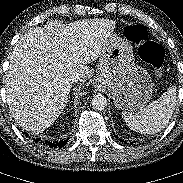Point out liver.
Wrapping results in <instances>:
<instances>
[{
  "label": "liver",
  "instance_id": "1",
  "mask_svg": "<svg viewBox=\"0 0 183 183\" xmlns=\"http://www.w3.org/2000/svg\"><path fill=\"white\" fill-rule=\"evenodd\" d=\"M116 23L83 19L69 24L51 21L31 28L10 56L6 98L15 121L24 130L43 132L62 113L72 88V72L85 80L86 64L96 60Z\"/></svg>",
  "mask_w": 183,
  "mask_h": 183
}]
</instances>
